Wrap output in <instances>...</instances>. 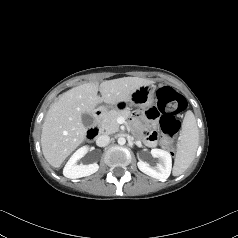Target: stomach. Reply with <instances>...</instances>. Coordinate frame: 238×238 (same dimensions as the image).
<instances>
[{"label":"stomach","instance_id":"obj_1","mask_svg":"<svg viewBox=\"0 0 238 238\" xmlns=\"http://www.w3.org/2000/svg\"><path fill=\"white\" fill-rule=\"evenodd\" d=\"M153 102L154 88L151 85H145L135 90L132 93L130 100H120L115 107L120 111H132L135 107L145 109L152 105ZM110 108H113V106H101L99 110L102 112H107Z\"/></svg>","mask_w":238,"mask_h":238}]
</instances>
